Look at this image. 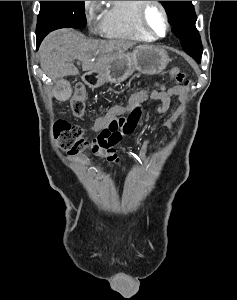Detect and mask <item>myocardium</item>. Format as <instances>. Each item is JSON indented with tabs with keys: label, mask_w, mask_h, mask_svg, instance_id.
<instances>
[{
	"label": "myocardium",
	"mask_w": 237,
	"mask_h": 300,
	"mask_svg": "<svg viewBox=\"0 0 237 300\" xmlns=\"http://www.w3.org/2000/svg\"><path fill=\"white\" fill-rule=\"evenodd\" d=\"M151 7H156L159 9L163 21H164V25H165V30L163 34H158L149 24L148 22V12L150 10ZM139 18L141 21L142 26L144 27V29L153 37L155 38H163L165 37L168 32L170 31V20H169V15L168 12L165 8V6L163 5L162 2L160 1H143L142 5L140 6L139 9Z\"/></svg>",
	"instance_id": "f54148a6"
}]
</instances>
